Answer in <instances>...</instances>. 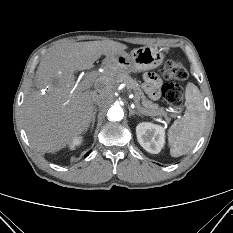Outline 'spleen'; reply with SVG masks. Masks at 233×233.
<instances>
[{
	"label": "spleen",
	"mask_w": 233,
	"mask_h": 233,
	"mask_svg": "<svg viewBox=\"0 0 233 233\" xmlns=\"http://www.w3.org/2000/svg\"><path fill=\"white\" fill-rule=\"evenodd\" d=\"M186 111L168 130V142L172 157H179L190 151L197 143L205 125L203 97L193 83H188L185 92Z\"/></svg>",
	"instance_id": "3e777b00"
}]
</instances>
